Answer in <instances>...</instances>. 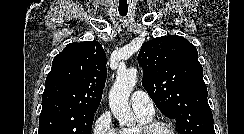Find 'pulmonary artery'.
<instances>
[{
    "mask_svg": "<svg viewBox=\"0 0 244 134\" xmlns=\"http://www.w3.org/2000/svg\"><path fill=\"white\" fill-rule=\"evenodd\" d=\"M130 104L135 113H140L146 116H153L155 109L153 101L144 91L137 90L130 97Z\"/></svg>",
    "mask_w": 244,
    "mask_h": 134,
    "instance_id": "obj_1",
    "label": "pulmonary artery"
}]
</instances>
